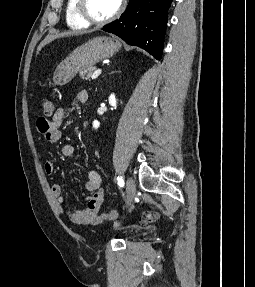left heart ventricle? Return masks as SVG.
<instances>
[{
    "label": "left heart ventricle",
    "instance_id": "b2bd125f",
    "mask_svg": "<svg viewBox=\"0 0 255 287\" xmlns=\"http://www.w3.org/2000/svg\"><path fill=\"white\" fill-rule=\"evenodd\" d=\"M94 33H121V32H94ZM96 39H121V38H96ZM94 48H130V47H94Z\"/></svg>",
    "mask_w": 255,
    "mask_h": 287
}]
</instances>
